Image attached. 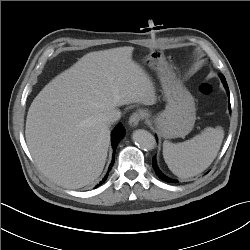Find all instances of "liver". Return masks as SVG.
Listing matches in <instances>:
<instances>
[{"label": "liver", "mask_w": 250, "mask_h": 250, "mask_svg": "<svg viewBox=\"0 0 250 250\" xmlns=\"http://www.w3.org/2000/svg\"><path fill=\"white\" fill-rule=\"evenodd\" d=\"M133 50L84 55L31 103L26 142L41 172L58 185L77 189L101 175L110 144L105 113L131 103L154 104L153 83L132 60Z\"/></svg>", "instance_id": "obj_1"}]
</instances>
